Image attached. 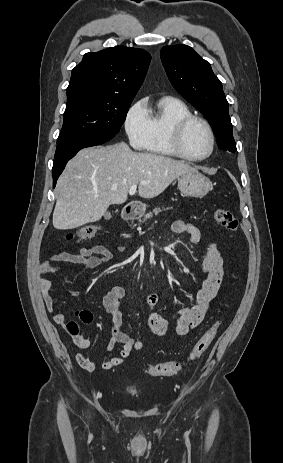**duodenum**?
Masks as SVG:
<instances>
[{"instance_id":"1","label":"duodenum","mask_w":283,"mask_h":463,"mask_svg":"<svg viewBox=\"0 0 283 463\" xmlns=\"http://www.w3.org/2000/svg\"><path fill=\"white\" fill-rule=\"evenodd\" d=\"M138 214L137 211V204L135 203H130L125 206L123 212H122V218L124 220H130L136 218Z\"/></svg>"}]
</instances>
